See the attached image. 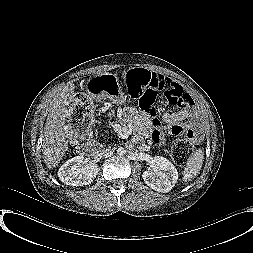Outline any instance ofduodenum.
Instances as JSON below:
<instances>
[{"label":"duodenum","mask_w":253,"mask_h":253,"mask_svg":"<svg viewBox=\"0 0 253 253\" xmlns=\"http://www.w3.org/2000/svg\"><path fill=\"white\" fill-rule=\"evenodd\" d=\"M80 152L88 156H95L100 153V148L91 141H85L80 146Z\"/></svg>","instance_id":"410a0bca"}]
</instances>
